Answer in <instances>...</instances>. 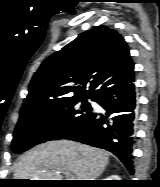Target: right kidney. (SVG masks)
Listing matches in <instances>:
<instances>
[{
    "label": "right kidney",
    "mask_w": 160,
    "mask_h": 187,
    "mask_svg": "<svg viewBox=\"0 0 160 187\" xmlns=\"http://www.w3.org/2000/svg\"><path fill=\"white\" fill-rule=\"evenodd\" d=\"M105 180H120V178L117 175H112V176H109L108 178H106Z\"/></svg>",
    "instance_id": "right-kidney-1"
}]
</instances>
